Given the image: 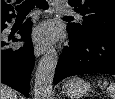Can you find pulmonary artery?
Instances as JSON below:
<instances>
[{
	"mask_svg": "<svg viewBox=\"0 0 115 99\" xmlns=\"http://www.w3.org/2000/svg\"><path fill=\"white\" fill-rule=\"evenodd\" d=\"M54 5H55L54 10L57 13H62V14H69V13H71V10L68 8V6L65 5L61 1H55Z\"/></svg>",
	"mask_w": 115,
	"mask_h": 99,
	"instance_id": "e3ab8cb5",
	"label": "pulmonary artery"
}]
</instances>
